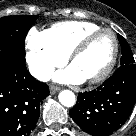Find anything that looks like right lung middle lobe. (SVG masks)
I'll return each instance as SVG.
<instances>
[{"mask_svg": "<svg viewBox=\"0 0 136 136\" xmlns=\"http://www.w3.org/2000/svg\"><path fill=\"white\" fill-rule=\"evenodd\" d=\"M37 15L0 18V61L25 63V36Z\"/></svg>", "mask_w": 136, "mask_h": 136, "instance_id": "right-lung-middle-lobe-1", "label": "right lung middle lobe"}]
</instances>
